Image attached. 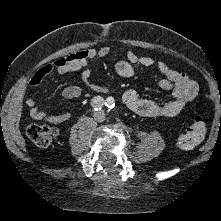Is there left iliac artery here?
<instances>
[{
  "instance_id": "1",
  "label": "left iliac artery",
  "mask_w": 221,
  "mask_h": 221,
  "mask_svg": "<svg viewBox=\"0 0 221 221\" xmlns=\"http://www.w3.org/2000/svg\"><path fill=\"white\" fill-rule=\"evenodd\" d=\"M106 106L108 108V112H112L113 108L115 106L114 98L108 97L107 100H106Z\"/></svg>"
}]
</instances>
